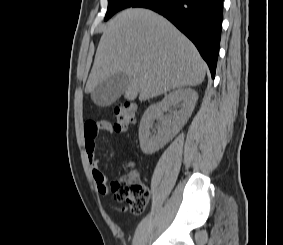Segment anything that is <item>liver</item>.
<instances>
[{"label": "liver", "instance_id": "1", "mask_svg": "<svg viewBox=\"0 0 283 245\" xmlns=\"http://www.w3.org/2000/svg\"><path fill=\"white\" fill-rule=\"evenodd\" d=\"M206 64L193 43L167 19L148 9L129 8L103 32L85 92L119 72L130 83L124 97L146 100L175 88L196 86Z\"/></svg>", "mask_w": 283, "mask_h": 245}]
</instances>
